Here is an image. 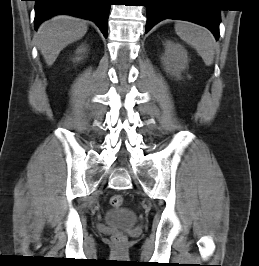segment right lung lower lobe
I'll return each mask as SVG.
<instances>
[{
	"mask_svg": "<svg viewBox=\"0 0 259 266\" xmlns=\"http://www.w3.org/2000/svg\"><path fill=\"white\" fill-rule=\"evenodd\" d=\"M35 29L50 17L68 14L95 22L107 38L110 0H35Z\"/></svg>",
	"mask_w": 259,
	"mask_h": 266,
	"instance_id": "obj_1",
	"label": "right lung lower lobe"
}]
</instances>
